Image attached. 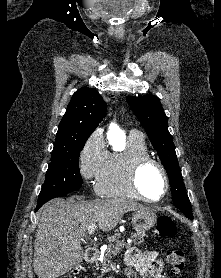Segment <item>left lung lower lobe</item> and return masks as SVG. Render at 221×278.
Listing matches in <instances>:
<instances>
[{
	"instance_id": "obj_1",
	"label": "left lung lower lobe",
	"mask_w": 221,
	"mask_h": 278,
	"mask_svg": "<svg viewBox=\"0 0 221 278\" xmlns=\"http://www.w3.org/2000/svg\"><path fill=\"white\" fill-rule=\"evenodd\" d=\"M187 218H189L190 220L193 219V215H192V211L191 210H187V209H180Z\"/></svg>"
}]
</instances>
